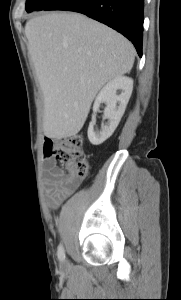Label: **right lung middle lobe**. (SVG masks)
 <instances>
[{
    "label": "right lung middle lobe",
    "mask_w": 181,
    "mask_h": 300,
    "mask_svg": "<svg viewBox=\"0 0 181 300\" xmlns=\"http://www.w3.org/2000/svg\"><path fill=\"white\" fill-rule=\"evenodd\" d=\"M55 0H26L25 9L27 12L40 11L46 8Z\"/></svg>",
    "instance_id": "1"
}]
</instances>
